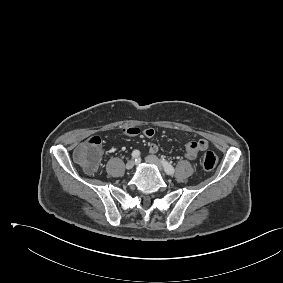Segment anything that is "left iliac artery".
<instances>
[{
	"label": "left iliac artery",
	"mask_w": 283,
	"mask_h": 283,
	"mask_svg": "<svg viewBox=\"0 0 283 283\" xmlns=\"http://www.w3.org/2000/svg\"><path fill=\"white\" fill-rule=\"evenodd\" d=\"M161 162H162V165H163V167H164V169H165V172H166L167 174H169V175H173L174 172H175L173 166H172L171 164H169V163H168L166 160H164V159H163Z\"/></svg>",
	"instance_id": "44dca946"
}]
</instances>
